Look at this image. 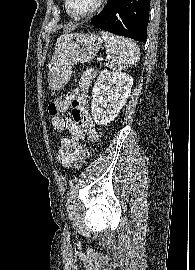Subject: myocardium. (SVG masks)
I'll return each mask as SVG.
<instances>
[{
  "instance_id": "1",
  "label": "myocardium",
  "mask_w": 195,
  "mask_h": 270,
  "mask_svg": "<svg viewBox=\"0 0 195 270\" xmlns=\"http://www.w3.org/2000/svg\"><path fill=\"white\" fill-rule=\"evenodd\" d=\"M105 1L106 0H98L96 6L91 11H89L88 13H85V14L74 13L73 10L71 9V6H70V0H65V6H66L67 12L69 13V15L72 18L82 20V19L90 18L93 15H95L96 13H98L101 10V8L103 7Z\"/></svg>"
}]
</instances>
